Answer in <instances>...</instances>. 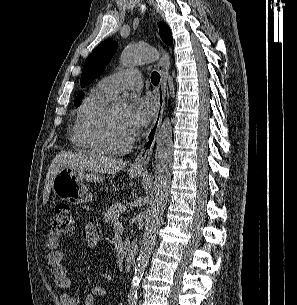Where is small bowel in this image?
I'll use <instances>...</instances> for the list:
<instances>
[{
    "label": "small bowel",
    "mask_w": 297,
    "mask_h": 305,
    "mask_svg": "<svg viewBox=\"0 0 297 305\" xmlns=\"http://www.w3.org/2000/svg\"><path fill=\"white\" fill-rule=\"evenodd\" d=\"M84 240L94 249L100 247L99 235L92 223L86 224L82 230ZM46 247L48 249L47 264L51 272V276L56 285L62 290H68L71 286V278L68 275L67 269L64 265L65 256L59 249L58 235L50 232L46 240ZM108 292L103 287H92L83 300L84 305H94L95 297L107 296ZM62 305H81L82 301L78 295L72 292H65L61 295ZM117 305H123L117 302Z\"/></svg>",
    "instance_id": "small-bowel-1"
}]
</instances>
